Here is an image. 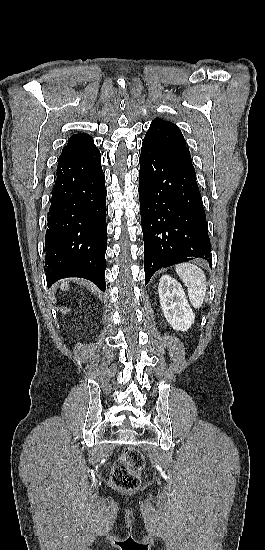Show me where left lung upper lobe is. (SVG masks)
I'll return each mask as SVG.
<instances>
[{"mask_svg":"<svg viewBox=\"0 0 265 550\" xmlns=\"http://www.w3.org/2000/svg\"><path fill=\"white\" fill-rule=\"evenodd\" d=\"M143 143L161 149L192 165L190 152L180 129L169 121L160 118L154 119Z\"/></svg>","mask_w":265,"mask_h":550,"instance_id":"obj_1","label":"left lung upper lobe"}]
</instances>
